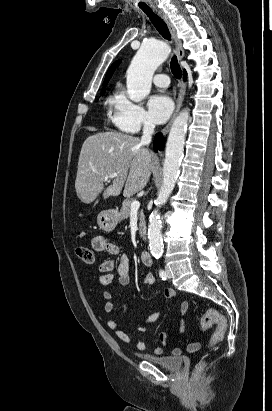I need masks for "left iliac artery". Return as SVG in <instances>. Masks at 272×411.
<instances>
[{"mask_svg":"<svg viewBox=\"0 0 272 411\" xmlns=\"http://www.w3.org/2000/svg\"><path fill=\"white\" fill-rule=\"evenodd\" d=\"M159 275L162 278V280H166L167 275H166V272L163 269H160Z\"/></svg>","mask_w":272,"mask_h":411,"instance_id":"44dca946","label":"left iliac artery"}]
</instances>
